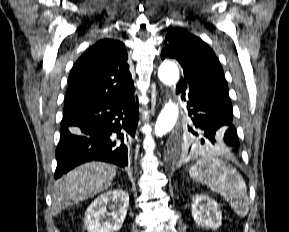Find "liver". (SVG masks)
<instances>
[{"label":"liver","instance_id":"6515ba94","mask_svg":"<svg viewBox=\"0 0 289 232\" xmlns=\"http://www.w3.org/2000/svg\"><path fill=\"white\" fill-rule=\"evenodd\" d=\"M115 175V167L103 162L93 161L76 167L55 183L53 215L107 190Z\"/></svg>","mask_w":289,"mask_h":232}]
</instances>
